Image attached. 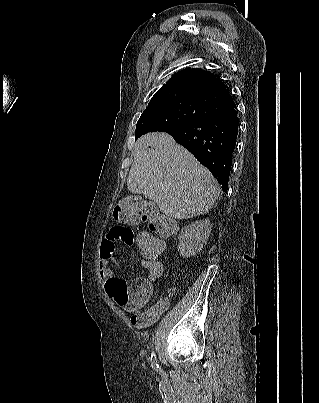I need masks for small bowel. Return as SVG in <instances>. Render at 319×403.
<instances>
[{"label": "small bowel", "mask_w": 319, "mask_h": 403, "mask_svg": "<svg viewBox=\"0 0 319 403\" xmlns=\"http://www.w3.org/2000/svg\"><path fill=\"white\" fill-rule=\"evenodd\" d=\"M134 237L135 230L131 229L130 224H111L109 229H104L103 235L99 236L98 271L112 304L121 309L122 315L127 316L132 329H143L153 324L167 310L168 300H160L146 308L152 299L151 284L161 273L158 258H143L144 266L149 270L147 279L117 278L110 268L115 253L123 246H133Z\"/></svg>", "instance_id": "1"}]
</instances>
